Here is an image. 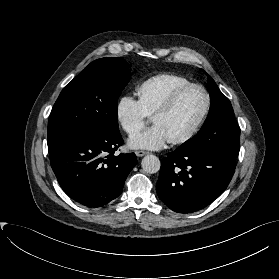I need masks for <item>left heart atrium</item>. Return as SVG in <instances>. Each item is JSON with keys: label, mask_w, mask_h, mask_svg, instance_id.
Here are the masks:
<instances>
[{"label": "left heart atrium", "mask_w": 279, "mask_h": 279, "mask_svg": "<svg viewBox=\"0 0 279 279\" xmlns=\"http://www.w3.org/2000/svg\"><path fill=\"white\" fill-rule=\"evenodd\" d=\"M169 142L164 130L154 125L152 128L141 132L129 139V146L133 149L159 150Z\"/></svg>", "instance_id": "obj_1"}]
</instances>
